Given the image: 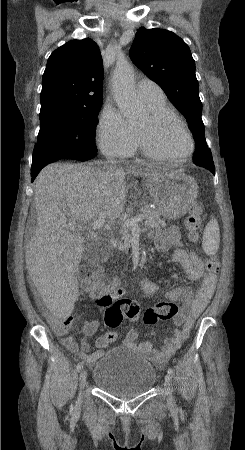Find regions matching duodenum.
Wrapping results in <instances>:
<instances>
[{"instance_id": "duodenum-1", "label": "duodenum", "mask_w": 245, "mask_h": 450, "mask_svg": "<svg viewBox=\"0 0 245 450\" xmlns=\"http://www.w3.org/2000/svg\"><path fill=\"white\" fill-rule=\"evenodd\" d=\"M108 242H109V245L112 247H115L117 244V240L115 238H110Z\"/></svg>"}]
</instances>
